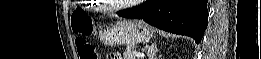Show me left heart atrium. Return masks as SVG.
Here are the masks:
<instances>
[{
	"mask_svg": "<svg viewBox=\"0 0 261 59\" xmlns=\"http://www.w3.org/2000/svg\"><path fill=\"white\" fill-rule=\"evenodd\" d=\"M127 2L128 3H140V2H142V0H130V1L127 0Z\"/></svg>",
	"mask_w": 261,
	"mask_h": 59,
	"instance_id": "obj_1",
	"label": "left heart atrium"
}]
</instances>
